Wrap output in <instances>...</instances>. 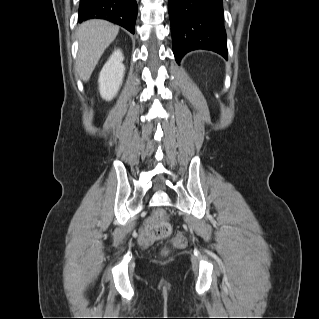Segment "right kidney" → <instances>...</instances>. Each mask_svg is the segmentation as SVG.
Returning a JSON list of instances; mask_svg holds the SVG:
<instances>
[{"mask_svg": "<svg viewBox=\"0 0 319 319\" xmlns=\"http://www.w3.org/2000/svg\"><path fill=\"white\" fill-rule=\"evenodd\" d=\"M123 59V54L119 49L114 51L100 72L98 79L99 91L101 97L107 101L117 95L122 85L125 73Z\"/></svg>", "mask_w": 319, "mask_h": 319, "instance_id": "ca27d5eb", "label": "right kidney"}]
</instances>
